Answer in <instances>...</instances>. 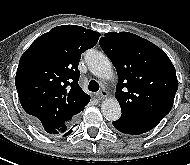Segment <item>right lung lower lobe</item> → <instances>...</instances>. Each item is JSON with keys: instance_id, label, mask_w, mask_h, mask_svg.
<instances>
[{"instance_id": "right-lung-lower-lobe-1", "label": "right lung lower lobe", "mask_w": 190, "mask_h": 165, "mask_svg": "<svg viewBox=\"0 0 190 165\" xmlns=\"http://www.w3.org/2000/svg\"><path fill=\"white\" fill-rule=\"evenodd\" d=\"M32 122L36 125V126H38L39 127V123L35 120V119H32ZM71 131H72V129H71ZM71 133V132H70ZM69 135V134H68Z\"/></svg>"}]
</instances>
